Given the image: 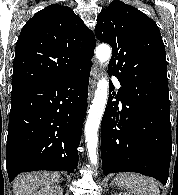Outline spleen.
<instances>
[{"mask_svg": "<svg viewBox=\"0 0 178 195\" xmlns=\"http://www.w3.org/2000/svg\"><path fill=\"white\" fill-rule=\"evenodd\" d=\"M114 181L118 187L125 188L134 195H160L159 183L141 174L120 173Z\"/></svg>", "mask_w": 178, "mask_h": 195, "instance_id": "obj_1", "label": "spleen"}]
</instances>
